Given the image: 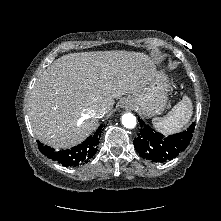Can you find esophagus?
<instances>
[{
    "mask_svg": "<svg viewBox=\"0 0 221 221\" xmlns=\"http://www.w3.org/2000/svg\"><path fill=\"white\" fill-rule=\"evenodd\" d=\"M121 107L127 110L132 109L134 107V102L131 99H125L122 101Z\"/></svg>",
    "mask_w": 221,
    "mask_h": 221,
    "instance_id": "obj_1",
    "label": "esophagus"
}]
</instances>
